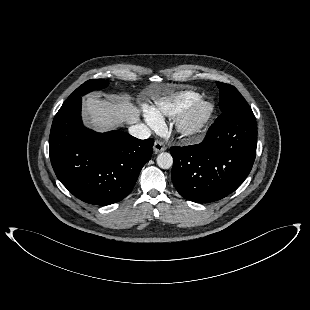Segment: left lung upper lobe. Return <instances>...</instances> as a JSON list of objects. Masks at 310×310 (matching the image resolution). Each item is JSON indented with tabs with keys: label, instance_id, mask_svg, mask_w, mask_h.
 Returning a JSON list of instances; mask_svg holds the SVG:
<instances>
[{
	"label": "left lung upper lobe",
	"instance_id": "5c2ea615",
	"mask_svg": "<svg viewBox=\"0 0 310 310\" xmlns=\"http://www.w3.org/2000/svg\"><path fill=\"white\" fill-rule=\"evenodd\" d=\"M216 83L220 89L219 106L222 112L221 115L236 112L249 107L246 100L235 87L222 82Z\"/></svg>",
	"mask_w": 310,
	"mask_h": 310
}]
</instances>
